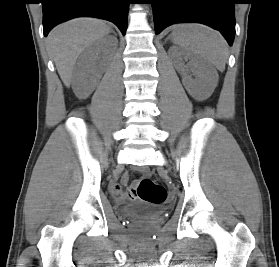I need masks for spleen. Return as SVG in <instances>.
Returning a JSON list of instances; mask_svg holds the SVG:
<instances>
[{"mask_svg":"<svg viewBox=\"0 0 279 267\" xmlns=\"http://www.w3.org/2000/svg\"><path fill=\"white\" fill-rule=\"evenodd\" d=\"M171 37L186 51L198 55L219 71L225 70L228 45L217 31L200 24H179L174 27Z\"/></svg>","mask_w":279,"mask_h":267,"instance_id":"spleen-1","label":"spleen"}]
</instances>
